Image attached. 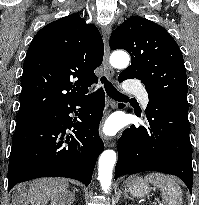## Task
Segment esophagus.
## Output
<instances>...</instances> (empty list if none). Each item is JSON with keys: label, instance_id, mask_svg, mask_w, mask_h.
Listing matches in <instances>:
<instances>
[{"label": "esophagus", "instance_id": "obj_1", "mask_svg": "<svg viewBox=\"0 0 199 205\" xmlns=\"http://www.w3.org/2000/svg\"><path fill=\"white\" fill-rule=\"evenodd\" d=\"M111 29L109 26H104L102 29L103 39H104V45H105V52H104V58H103V68L105 75L109 80H111L114 76V70L109 64V55H110V48H109V37H110ZM116 143L113 140H109L106 143L107 147H115Z\"/></svg>", "mask_w": 199, "mask_h": 205}]
</instances>
